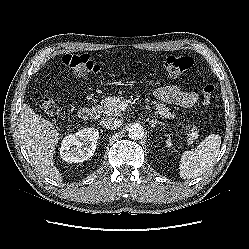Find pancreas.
<instances>
[{"label":"pancreas","mask_w":249,"mask_h":249,"mask_svg":"<svg viewBox=\"0 0 249 249\" xmlns=\"http://www.w3.org/2000/svg\"><path fill=\"white\" fill-rule=\"evenodd\" d=\"M122 97H106L101 101V105L98 106V109L105 114L106 116H119L121 115L120 104L123 102ZM154 108L158 114L164 118H174V114L170 112V109L166 105L159 102L153 101ZM189 133L187 134V142L189 144L193 143L198 138V129L195 125L188 126Z\"/></svg>","instance_id":"pancreas-1"}]
</instances>
